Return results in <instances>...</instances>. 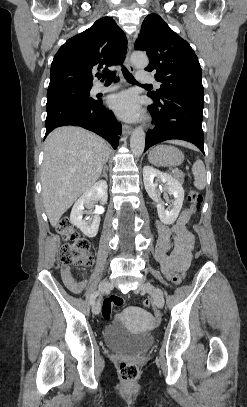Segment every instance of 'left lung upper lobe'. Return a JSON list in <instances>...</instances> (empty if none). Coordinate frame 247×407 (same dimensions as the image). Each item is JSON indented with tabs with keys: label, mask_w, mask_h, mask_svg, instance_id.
<instances>
[{
	"label": "left lung upper lobe",
	"mask_w": 247,
	"mask_h": 407,
	"mask_svg": "<svg viewBox=\"0 0 247 407\" xmlns=\"http://www.w3.org/2000/svg\"><path fill=\"white\" fill-rule=\"evenodd\" d=\"M135 49L146 51L149 65L145 70L154 71L155 79L162 83L156 92H148L153 101L174 92L204 95L197 56L159 15L149 14L144 19Z\"/></svg>",
	"instance_id": "5c2ea615"
}]
</instances>
